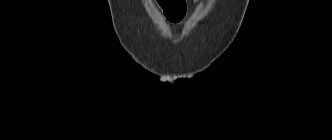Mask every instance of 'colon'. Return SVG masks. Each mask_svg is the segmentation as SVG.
<instances>
[{"label": "colon", "mask_w": 332, "mask_h": 140, "mask_svg": "<svg viewBox=\"0 0 332 140\" xmlns=\"http://www.w3.org/2000/svg\"><path fill=\"white\" fill-rule=\"evenodd\" d=\"M157 3L170 20L182 17L186 8L185 0H157Z\"/></svg>", "instance_id": "colon-1"}]
</instances>
